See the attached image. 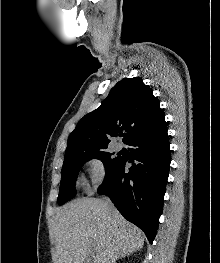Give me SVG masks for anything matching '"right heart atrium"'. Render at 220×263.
Returning <instances> with one entry per match:
<instances>
[{"mask_svg":"<svg viewBox=\"0 0 220 263\" xmlns=\"http://www.w3.org/2000/svg\"><path fill=\"white\" fill-rule=\"evenodd\" d=\"M89 175L90 188L98 189L106 180L107 168L104 161L100 158L94 157L86 163Z\"/></svg>","mask_w":220,"mask_h":263,"instance_id":"1","label":"right heart atrium"}]
</instances>
